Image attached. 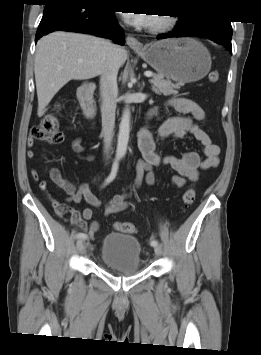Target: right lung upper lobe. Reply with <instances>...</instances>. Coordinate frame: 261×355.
<instances>
[{"label":"right lung upper lobe","mask_w":261,"mask_h":355,"mask_svg":"<svg viewBox=\"0 0 261 355\" xmlns=\"http://www.w3.org/2000/svg\"><path fill=\"white\" fill-rule=\"evenodd\" d=\"M44 1L48 2V1H53V0H44Z\"/></svg>","instance_id":"right-lung-upper-lobe-1"}]
</instances>
